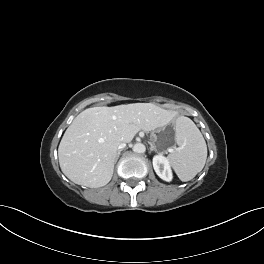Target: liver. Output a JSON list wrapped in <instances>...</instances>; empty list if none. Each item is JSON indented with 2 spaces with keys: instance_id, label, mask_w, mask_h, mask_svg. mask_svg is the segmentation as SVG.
<instances>
[{
  "instance_id": "1",
  "label": "liver",
  "mask_w": 264,
  "mask_h": 264,
  "mask_svg": "<svg viewBox=\"0 0 264 264\" xmlns=\"http://www.w3.org/2000/svg\"><path fill=\"white\" fill-rule=\"evenodd\" d=\"M173 113L152 103L92 107L75 117L58 148L59 164L78 185L98 188L112 178L118 144L166 126Z\"/></svg>"
}]
</instances>
